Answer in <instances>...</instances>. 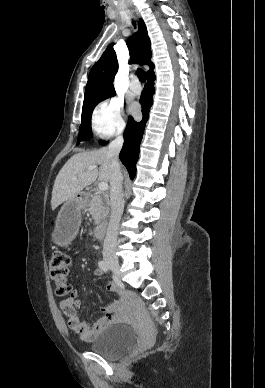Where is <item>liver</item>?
I'll use <instances>...</instances> for the list:
<instances>
[{
	"instance_id": "liver-1",
	"label": "liver",
	"mask_w": 265,
	"mask_h": 388,
	"mask_svg": "<svg viewBox=\"0 0 265 388\" xmlns=\"http://www.w3.org/2000/svg\"><path fill=\"white\" fill-rule=\"evenodd\" d=\"M108 148L94 150V152H82L72 156L65 166L61 168L53 186L51 208L56 210L60 204L72 200L84 190L96 182H110L111 164L107 158ZM89 166H100V170H90L86 172ZM77 180H72V178Z\"/></svg>"
}]
</instances>
